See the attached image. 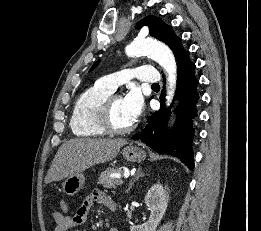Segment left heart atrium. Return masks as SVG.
Instances as JSON below:
<instances>
[{
	"instance_id": "obj_1",
	"label": "left heart atrium",
	"mask_w": 261,
	"mask_h": 231,
	"mask_svg": "<svg viewBox=\"0 0 261 231\" xmlns=\"http://www.w3.org/2000/svg\"><path fill=\"white\" fill-rule=\"evenodd\" d=\"M125 108L132 119L135 121L143 109V97L137 88L130 90L123 98Z\"/></svg>"
}]
</instances>
